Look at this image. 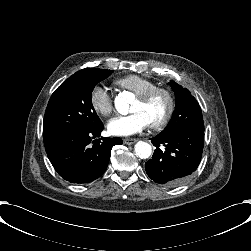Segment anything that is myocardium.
Wrapping results in <instances>:
<instances>
[{
  "mask_svg": "<svg viewBox=\"0 0 251 251\" xmlns=\"http://www.w3.org/2000/svg\"><path fill=\"white\" fill-rule=\"evenodd\" d=\"M158 93H164L167 96L168 108L163 117H161L158 120L152 121L150 123L151 127L153 128H159V127L165 126L172 118L175 111V107H176L175 94L173 93L171 89L163 87V86L155 85L151 89L139 94L138 99L147 103V102H150L153 99V97Z\"/></svg>",
  "mask_w": 251,
  "mask_h": 251,
  "instance_id": "f54148a6",
  "label": "myocardium"
}]
</instances>
